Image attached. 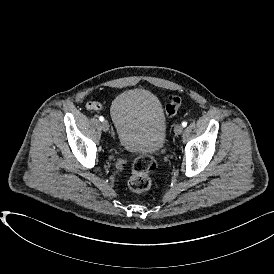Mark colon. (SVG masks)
Masks as SVG:
<instances>
[{
	"instance_id": "1",
	"label": "colon",
	"mask_w": 274,
	"mask_h": 274,
	"mask_svg": "<svg viewBox=\"0 0 274 274\" xmlns=\"http://www.w3.org/2000/svg\"><path fill=\"white\" fill-rule=\"evenodd\" d=\"M181 99L175 95L170 96L165 106L166 115L173 117L179 110ZM156 168L155 159L152 156L140 155L134 158L131 165V174L127 180L128 187L135 193H143L153 186V178L150 172Z\"/></svg>"
}]
</instances>
